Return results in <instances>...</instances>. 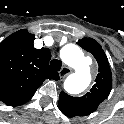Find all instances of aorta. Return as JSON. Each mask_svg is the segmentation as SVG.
Listing matches in <instances>:
<instances>
[{
	"label": "aorta",
	"mask_w": 124,
	"mask_h": 124,
	"mask_svg": "<svg viewBox=\"0 0 124 124\" xmlns=\"http://www.w3.org/2000/svg\"><path fill=\"white\" fill-rule=\"evenodd\" d=\"M62 61L74 69L64 81V89L70 94L85 91L91 83L89 65L83 51L75 44H66L60 51Z\"/></svg>",
	"instance_id": "1"
}]
</instances>
